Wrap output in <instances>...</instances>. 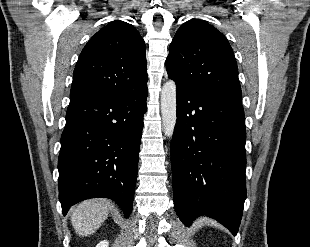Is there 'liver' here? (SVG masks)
<instances>
[{
	"label": "liver",
	"mask_w": 310,
	"mask_h": 247,
	"mask_svg": "<svg viewBox=\"0 0 310 247\" xmlns=\"http://www.w3.org/2000/svg\"><path fill=\"white\" fill-rule=\"evenodd\" d=\"M112 204L106 199H92L81 202L71 212V223L80 236L93 234L107 219Z\"/></svg>",
	"instance_id": "6515ba94"
}]
</instances>
